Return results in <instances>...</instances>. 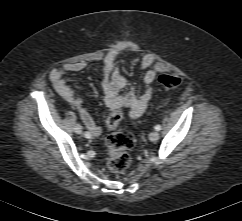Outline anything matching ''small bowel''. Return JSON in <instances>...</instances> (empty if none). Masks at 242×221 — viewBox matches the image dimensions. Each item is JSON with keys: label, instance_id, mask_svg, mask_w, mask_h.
Here are the masks:
<instances>
[{"label": "small bowel", "instance_id": "obj_1", "mask_svg": "<svg viewBox=\"0 0 242 221\" xmlns=\"http://www.w3.org/2000/svg\"><path fill=\"white\" fill-rule=\"evenodd\" d=\"M134 49L133 46L128 44H119L112 48L103 59L101 78L104 103L108 110L114 111L115 109L125 108L128 110V116L130 118L141 116L147 109L150 99L156 92V88L152 84L157 77L155 70H148L151 64V58L145 56L140 63L144 90L141 93H137L134 90H130L124 94L121 93L122 89L129 85V81L120 72L118 58L124 51ZM86 66L87 63L84 61L64 63L61 67L52 70L51 82L58 94L75 107L80 119L91 135L97 137L101 131L100 127L85 109L76 91L67 85L64 78L67 72H79L84 70Z\"/></svg>", "mask_w": 242, "mask_h": 221}]
</instances>
